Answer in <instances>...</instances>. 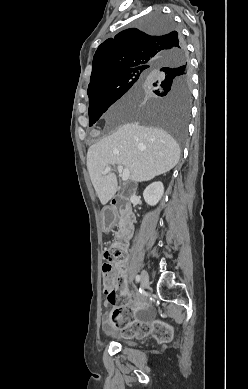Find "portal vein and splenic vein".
<instances>
[{
    "mask_svg": "<svg viewBox=\"0 0 248 389\" xmlns=\"http://www.w3.org/2000/svg\"><path fill=\"white\" fill-rule=\"evenodd\" d=\"M110 170H111V167L108 166V167H106V168L104 169V171L102 172V174L106 175V174H108V173L110 172ZM117 170H118V172L120 173V175H121L123 181H126V180L129 179L130 171H129L128 169L123 168V166H121V165H118V166H117Z\"/></svg>",
    "mask_w": 248,
    "mask_h": 389,
    "instance_id": "1",
    "label": "portal vein and splenic vein"
}]
</instances>
